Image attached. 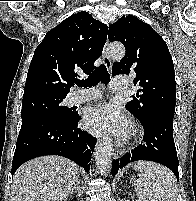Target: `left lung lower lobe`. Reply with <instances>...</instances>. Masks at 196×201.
<instances>
[{
    "label": "left lung lower lobe",
    "mask_w": 196,
    "mask_h": 201,
    "mask_svg": "<svg viewBox=\"0 0 196 201\" xmlns=\"http://www.w3.org/2000/svg\"><path fill=\"white\" fill-rule=\"evenodd\" d=\"M142 125L143 143L120 160H113L112 175L115 176L119 168L131 162L150 160L167 166L177 177L179 162L173 139V119L153 117Z\"/></svg>",
    "instance_id": "obj_1"
}]
</instances>
